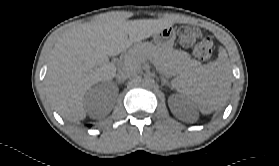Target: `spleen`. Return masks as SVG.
Segmentation results:
<instances>
[{"mask_svg":"<svg viewBox=\"0 0 279 166\" xmlns=\"http://www.w3.org/2000/svg\"><path fill=\"white\" fill-rule=\"evenodd\" d=\"M232 84L231 66L225 51L218 59L171 81V86L183 97L195 103L202 113H211L224 105Z\"/></svg>","mask_w":279,"mask_h":166,"instance_id":"spleen-1","label":"spleen"}]
</instances>
